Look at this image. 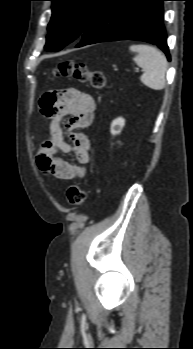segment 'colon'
<instances>
[{
    "label": "colon",
    "instance_id": "colon-1",
    "mask_svg": "<svg viewBox=\"0 0 193 349\" xmlns=\"http://www.w3.org/2000/svg\"><path fill=\"white\" fill-rule=\"evenodd\" d=\"M52 77H73L76 80L87 83L95 89H104L107 86V79L100 71H90L83 63L73 61H61L52 71ZM59 92L51 91L45 93L41 100V108L47 113L54 111L58 100ZM86 198L85 192L78 185H71L67 189V199L74 206H81Z\"/></svg>",
    "mask_w": 193,
    "mask_h": 349
}]
</instances>
